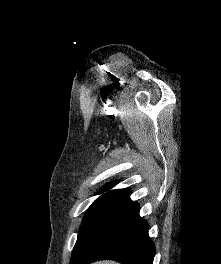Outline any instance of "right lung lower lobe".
<instances>
[{
  "label": "right lung lower lobe",
  "mask_w": 221,
  "mask_h": 264,
  "mask_svg": "<svg viewBox=\"0 0 221 264\" xmlns=\"http://www.w3.org/2000/svg\"><path fill=\"white\" fill-rule=\"evenodd\" d=\"M130 194V190L124 192L70 264L105 259L122 264L153 263L155 246L148 236V224L139 216V205L130 200Z\"/></svg>",
  "instance_id": "98d812e1"
}]
</instances>
